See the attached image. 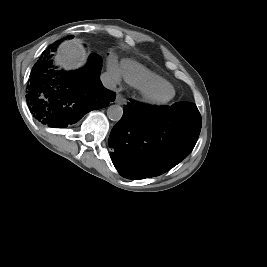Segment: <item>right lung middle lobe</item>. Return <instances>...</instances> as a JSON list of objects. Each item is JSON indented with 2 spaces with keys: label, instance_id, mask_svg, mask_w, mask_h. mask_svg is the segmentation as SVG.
Here are the masks:
<instances>
[{
  "label": "right lung middle lobe",
  "instance_id": "right-lung-middle-lobe-1",
  "mask_svg": "<svg viewBox=\"0 0 267 267\" xmlns=\"http://www.w3.org/2000/svg\"><path fill=\"white\" fill-rule=\"evenodd\" d=\"M66 38H73V36L72 35H70V36H68V37H66ZM60 42L59 41H57V42H55L54 44H52V45H50V46H54V45H57V44H59Z\"/></svg>",
  "mask_w": 267,
  "mask_h": 267
}]
</instances>
